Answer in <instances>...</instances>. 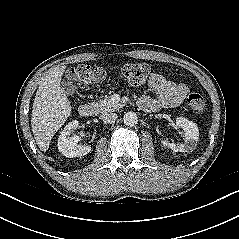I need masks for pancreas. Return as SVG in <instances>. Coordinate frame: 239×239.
<instances>
[{
  "label": "pancreas",
  "instance_id": "cf45deb5",
  "mask_svg": "<svg viewBox=\"0 0 239 239\" xmlns=\"http://www.w3.org/2000/svg\"><path fill=\"white\" fill-rule=\"evenodd\" d=\"M92 105L96 108L98 112H113L120 109L123 105L114 102L111 97H105V99L98 102H93Z\"/></svg>",
  "mask_w": 239,
  "mask_h": 239
}]
</instances>
